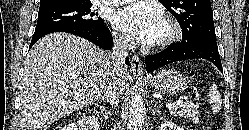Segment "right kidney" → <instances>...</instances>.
<instances>
[{"instance_id":"1","label":"right kidney","mask_w":249,"mask_h":130,"mask_svg":"<svg viewBox=\"0 0 249 130\" xmlns=\"http://www.w3.org/2000/svg\"><path fill=\"white\" fill-rule=\"evenodd\" d=\"M99 121L94 115L84 116L80 118L77 123L66 125L62 130H98Z\"/></svg>"}]
</instances>
